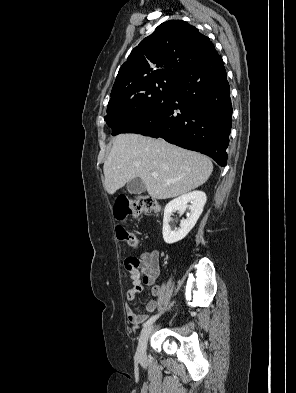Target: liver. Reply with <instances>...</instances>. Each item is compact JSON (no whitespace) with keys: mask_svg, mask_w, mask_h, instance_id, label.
<instances>
[{"mask_svg":"<svg viewBox=\"0 0 296 393\" xmlns=\"http://www.w3.org/2000/svg\"><path fill=\"white\" fill-rule=\"evenodd\" d=\"M103 170L108 194L140 178L152 198L168 199L204 184L213 171V164L208 157L163 139L120 134L113 141ZM152 172L158 177H152Z\"/></svg>","mask_w":296,"mask_h":393,"instance_id":"obj_1","label":"liver"}]
</instances>
